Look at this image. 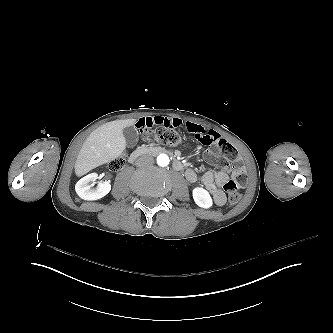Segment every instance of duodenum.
Returning <instances> with one entry per match:
<instances>
[{
  "mask_svg": "<svg viewBox=\"0 0 333 333\" xmlns=\"http://www.w3.org/2000/svg\"><path fill=\"white\" fill-rule=\"evenodd\" d=\"M158 153H169V151L163 147H144L138 148L134 150L129 156V162H135L139 157L147 155V154H158ZM173 166L176 170H181L183 168L182 163L174 158L173 159Z\"/></svg>",
  "mask_w": 333,
  "mask_h": 333,
  "instance_id": "duodenum-1",
  "label": "duodenum"
}]
</instances>
